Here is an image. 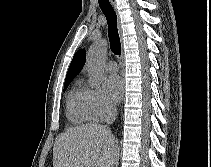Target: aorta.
I'll use <instances>...</instances> for the list:
<instances>
[{"mask_svg": "<svg viewBox=\"0 0 211 167\" xmlns=\"http://www.w3.org/2000/svg\"><path fill=\"white\" fill-rule=\"evenodd\" d=\"M107 52L106 41H100L92 45L88 52L87 67L90 73V86L100 88L105 80L103 60Z\"/></svg>", "mask_w": 211, "mask_h": 167, "instance_id": "762f6f07", "label": "aorta"}]
</instances>
